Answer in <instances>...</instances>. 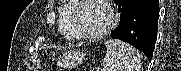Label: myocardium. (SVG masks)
<instances>
[{"instance_id": "myocardium-1", "label": "myocardium", "mask_w": 181, "mask_h": 71, "mask_svg": "<svg viewBox=\"0 0 181 71\" xmlns=\"http://www.w3.org/2000/svg\"><path fill=\"white\" fill-rule=\"evenodd\" d=\"M68 1L76 4V8L74 10V13H73V16L71 19V23H70V26L72 28V33H73L72 37L74 39L97 40V39L103 38L104 36L109 34L115 28L116 23H117V15H116L115 10L113 9V7L111 6V4L108 1H105V0H68ZM88 1H94V2H97L98 4H100L108 12V16H109V22L106 25V27H104L102 30H100L96 33H93V34L82 33L78 29L79 14H80L83 6Z\"/></svg>"}]
</instances>
